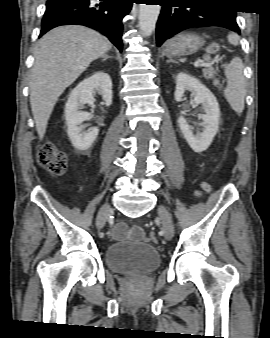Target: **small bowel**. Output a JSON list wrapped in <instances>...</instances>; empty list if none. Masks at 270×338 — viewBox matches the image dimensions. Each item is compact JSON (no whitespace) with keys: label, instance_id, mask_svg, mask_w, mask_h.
<instances>
[{"label":"small bowel","instance_id":"c3829d8e","mask_svg":"<svg viewBox=\"0 0 270 338\" xmlns=\"http://www.w3.org/2000/svg\"><path fill=\"white\" fill-rule=\"evenodd\" d=\"M128 230L126 228H123L121 226L115 228L113 235L115 236H123L126 235ZM130 237L134 240H140L142 237L141 230L137 227H134L131 229Z\"/></svg>","mask_w":270,"mask_h":338}]
</instances>
